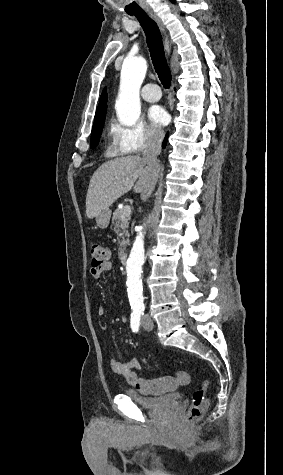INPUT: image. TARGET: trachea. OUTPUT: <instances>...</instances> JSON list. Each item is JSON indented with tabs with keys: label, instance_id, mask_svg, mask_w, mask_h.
I'll return each mask as SVG.
<instances>
[{
	"label": "trachea",
	"instance_id": "1",
	"mask_svg": "<svg viewBox=\"0 0 283 475\" xmlns=\"http://www.w3.org/2000/svg\"><path fill=\"white\" fill-rule=\"evenodd\" d=\"M134 15L139 21L146 35V41L154 69L163 87L168 89L171 86L172 75L165 57L163 39L159 27L146 12L128 13Z\"/></svg>",
	"mask_w": 283,
	"mask_h": 475
}]
</instances>
